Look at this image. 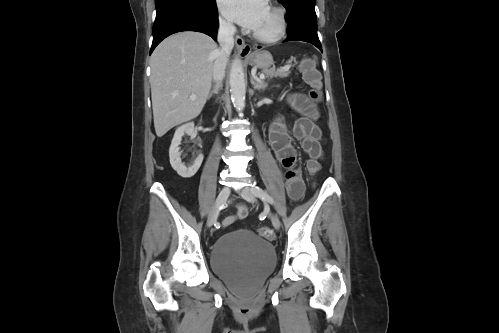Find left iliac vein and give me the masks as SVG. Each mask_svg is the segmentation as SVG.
Instances as JSON below:
<instances>
[{"label":"left iliac vein","instance_id":"1","mask_svg":"<svg viewBox=\"0 0 499 333\" xmlns=\"http://www.w3.org/2000/svg\"><path fill=\"white\" fill-rule=\"evenodd\" d=\"M239 194L248 202L254 203L256 201L255 195L252 192V189L249 187H244L239 190ZM269 217L271 219L272 225L276 230L280 229L281 222L278 216L272 212L269 213Z\"/></svg>","mask_w":499,"mask_h":333}]
</instances>
